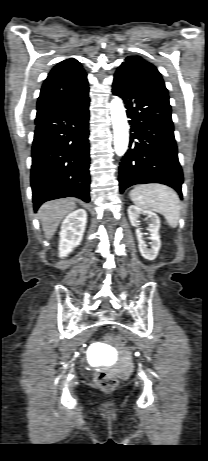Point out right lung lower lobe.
<instances>
[{"instance_id":"98d812e1","label":"right lung lower lobe","mask_w":208,"mask_h":461,"mask_svg":"<svg viewBox=\"0 0 208 461\" xmlns=\"http://www.w3.org/2000/svg\"><path fill=\"white\" fill-rule=\"evenodd\" d=\"M88 93L78 102L39 114L32 146L34 210L46 201L89 197Z\"/></svg>"}]
</instances>
